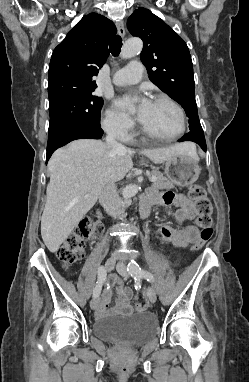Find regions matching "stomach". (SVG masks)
<instances>
[{
  "instance_id": "0dacf381",
  "label": "stomach",
  "mask_w": 249,
  "mask_h": 382,
  "mask_svg": "<svg viewBox=\"0 0 249 382\" xmlns=\"http://www.w3.org/2000/svg\"><path fill=\"white\" fill-rule=\"evenodd\" d=\"M165 173L179 186L191 185L200 174L198 159L186 153L176 154L166 161Z\"/></svg>"
}]
</instances>
